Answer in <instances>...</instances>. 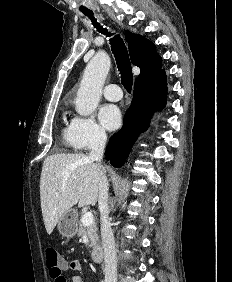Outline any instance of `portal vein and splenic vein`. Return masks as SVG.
I'll list each match as a JSON object with an SVG mask.
<instances>
[{
    "instance_id": "1",
    "label": "portal vein and splenic vein",
    "mask_w": 232,
    "mask_h": 282,
    "mask_svg": "<svg viewBox=\"0 0 232 282\" xmlns=\"http://www.w3.org/2000/svg\"><path fill=\"white\" fill-rule=\"evenodd\" d=\"M82 223L85 225V226H89L93 223L94 221V217H93V214L91 212H86L83 216H82V219H81Z\"/></svg>"
}]
</instances>
